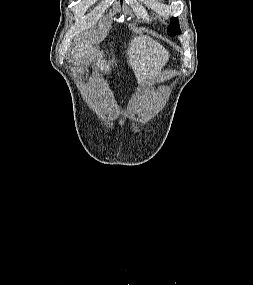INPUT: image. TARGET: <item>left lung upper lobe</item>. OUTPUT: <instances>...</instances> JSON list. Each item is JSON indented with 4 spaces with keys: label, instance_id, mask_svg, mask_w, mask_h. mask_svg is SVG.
Instances as JSON below:
<instances>
[{
    "label": "left lung upper lobe",
    "instance_id": "5c2ea615",
    "mask_svg": "<svg viewBox=\"0 0 253 285\" xmlns=\"http://www.w3.org/2000/svg\"><path fill=\"white\" fill-rule=\"evenodd\" d=\"M181 33L180 27H179V21L177 18L173 17L171 19V23L168 27V34L173 36V35H178Z\"/></svg>",
    "mask_w": 253,
    "mask_h": 285
}]
</instances>
